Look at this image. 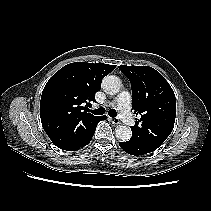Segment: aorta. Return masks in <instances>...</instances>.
<instances>
[{"label":"aorta","instance_id":"aorta-1","mask_svg":"<svg viewBox=\"0 0 211 211\" xmlns=\"http://www.w3.org/2000/svg\"><path fill=\"white\" fill-rule=\"evenodd\" d=\"M101 87L104 92L109 95H115L119 92L121 88V81L117 76L107 75L103 78ZM116 137L121 142H127L132 136V131L129 127L125 125H120L116 128L115 131Z\"/></svg>","mask_w":211,"mask_h":211}]
</instances>
